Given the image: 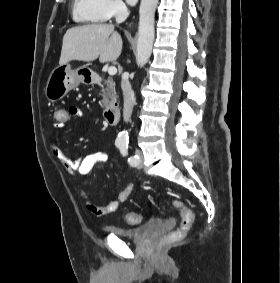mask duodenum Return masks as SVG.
Here are the masks:
<instances>
[{
    "label": "duodenum",
    "mask_w": 280,
    "mask_h": 283,
    "mask_svg": "<svg viewBox=\"0 0 280 283\" xmlns=\"http://www.w3.org/2000/svg\"><path fill=\"white\" fill-rule=\"evenodd\" d=\"M86 81L91 84H99L101 79L97 75H90L87 77ZM103 116L109 125H116L119 121L120 109L117 105L110 106L105 109Z\"/></svg>",
    "instance_id": "duodenum-1"
}]
</instances>
